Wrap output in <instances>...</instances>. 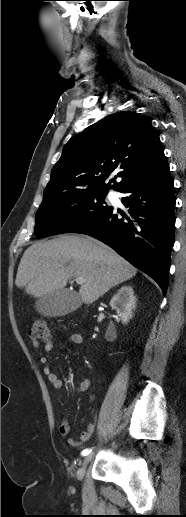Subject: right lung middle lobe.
<instances>
[{
	"instance_id": "right-lung-middle-lobe-1",
	"label": "right lung middle lobe",
	"mask_w": 186,
	"mask_h": 517,
	"mask_svg": "<svg viewBox=\"0 0 186 517\" xmlns=\"http://www.w3.org/2000/svg\"><path fill=\"white\" fill-rule=\"evenodd\" d=\"M106 193L99 190L82 191L42 202L36 213L34 234L43 238L73 232L88 224L111 209L104 201Z\"/></svg>"
}]
</instances>
